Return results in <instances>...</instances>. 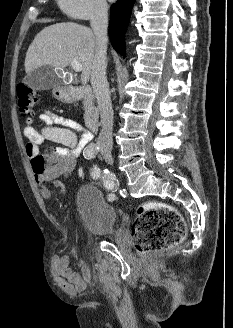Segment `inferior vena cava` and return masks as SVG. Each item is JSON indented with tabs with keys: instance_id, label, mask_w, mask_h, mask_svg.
<instances>
[{
	"instance_id": "602c4592",
	"label": "inferior vena cava",
	"mask_w": 233,
	"mask_h": 328,
	"mask_svg": "<svg viewBox=\"0 0 233 328\" xmlns=\"http://www.w3.org/2000/svg\"><path fill=\"white\" fill-rule=\"evenodd\" d=\"M90 25L96 36V51L91 66V85L97 99L102 125L96 144L102 153H110L113 147V110L106 77L108 6L105 1H99L95 5Z\"/></svg>"
}]
</instances>
